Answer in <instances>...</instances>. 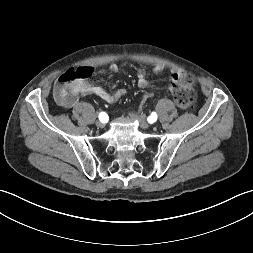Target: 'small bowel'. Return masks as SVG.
Wrapping results in <instances>:
<instances>
[{"label":"small bowel","mask_w":253,"mask_h":253,"mask_svg":"<svg viewBox=\"0 0 253 253\" xmlns=\"http://www.w3.org/2000/svg\"><path fill=\"white\" fill-rule=\"evenodd\" d=\"M89 69V68H88ZM164 67L160 64L155 65L153 68L154 73H160L162 72ZM90 70V69H89ZM119 67L116 64H112L110 66V71L111 72H118ZM171 80L178 79L182 76L185 75V72L181 69L178 68H173L171 69ZM137 83L140 88H145L148 86L149 81L147 79L146 71L143 69L138 70L137 72ZM73 92H74V99L68 103H62L63 106L65 107H73L79 96H86V95H95L102 100H104L107 103H115L118 100H120L124 95H126V90L125 89H119L115 92H108L104 88L100 86H95L90 84L88 81L85 79L78 80L74 83L73 85Z\"/></svg>","instance_id":"c3829d8e"}]
</instances>
